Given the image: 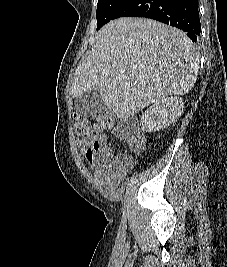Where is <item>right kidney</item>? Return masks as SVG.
Returning a JSON list of instances; mask_svg holds the SVG:
<instances>
[{
    "label": "right kidney",
    "mask_w": 227,
    "mask_h": 267,
    "mask_svg": "<svg viewBox=\"0 0 227 267\" xmlns=\"http://www.w3.org/2000/svg\"><path fill=\"white\" fill-rule=\"evenodd\" d=\"M183 108V99L179 97H167L155 102L142 114V130L155 132L170 126L182 115Z\"/></svg>",
    "instance_id": "obj_1"
}]
</instances>
